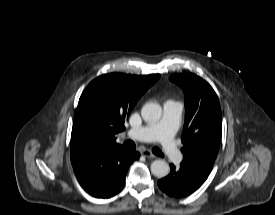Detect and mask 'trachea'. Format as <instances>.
I'll list each match as a JSON object with an SVG mask.
<instances>
[{
    "mask_svg": "<svg viewBox=\"0 0 275 215\" xmlns=\"http://www.w3.org/2000/svg\"><path fill=\"white\" fill-rule=\"evenodd\" d=\"M124 146H125L126 148L130 149V150H135V148H136L135 143H134L133 141H131V140L125 141V142H124ZM152 152H153L155 155H157V156H160V157H163V156H164V154L162 153V151H161L159 148H157V147L153 148V149H152Z\"/></svg>",
    "mask_w": 275,
    "mask_h": 215,
    "instance_id": "trachea-1",
    "label": "trachea"
}]
</instances>
